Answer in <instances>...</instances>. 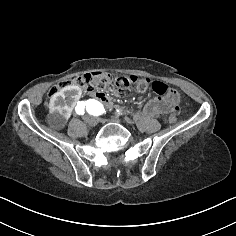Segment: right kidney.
Instances as JSON below:
<instances>
[{"label": "right kidney", "mask_w": 236, "mask_h": 236, "mask_svg": "<svg viewBox=\"0 0 236 236\" xmlns=\"http://www.w3.org/2000/svg\"><path fill=\"white\" fill-rule=\"evenodd\" d=\"M73 92H69V91ZM82 90L79 86H66L60 92L55 93L51 99V111L49 121L56 131L66 128V121L71 115V106L80 98Z\"/></svg>", "instance_id": "1"}]
</instances>
